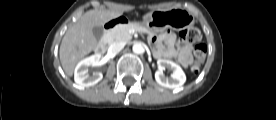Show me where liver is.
<instances>
[{
    "label": "liver",
    "mask_w": 276,
    "mask_h": 120,
    "mask_svg": "<svg viewBox=\"0 0 276 120\" xmlns=\"http://www.w3.org/2000/svg\"><path fill=\"white\" fill-rule=\"evenodd\" d=\"M122 14L123 11L120 10H90L67 30L60 45L59 56L62 68L68 76H72L76 64L96 48L97 39L93 34V27H101ZM149 15L150 13L143 18Z\"/></svg>",
    "instance_id": "6515ba94"
}]
</instances>
